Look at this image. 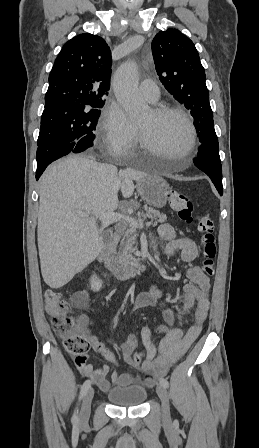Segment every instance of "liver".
I'll return each mask as SVG.
<instances>
[{"mask_svg":"<svg viewBox=\"0 0 259 448\" xmlns=\"http://www.w3.org/2000/svg\"><path fill=\"white\" fill-rule=\"evenodd\" d=\"M129 172L98 164L95 158L67 156L48 166L40 178L38 250L43 280L62 288L99 256L103 242L97 218L126 210L118 200L129 186ZM76 212L92 214L80 218Z\"/></svg>","mask_w":259,"mask_h":448,"instance_id":"liver-1","label":"liver"}]
</instances>
